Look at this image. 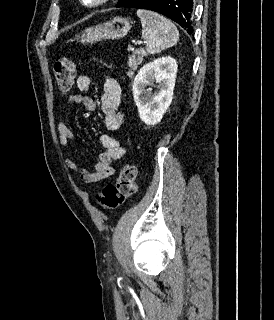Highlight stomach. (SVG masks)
Instances as JSON below:
<instances>
[{
    "mask_svg": "<svg viewBox=\"0 0 274 320\" xmlns=\"http://www.w3.org/2000/svg\"><path fill=\"white\" fill-rule=\"evenodd\" d=\"M131 28L132 22L128 18L116 16L105 24L87 28L80 36H77L76 40H79L81 44H95V42H101V40H119V38L127 36Z\"/></svg>",
    "mask_w": 274,
    "mask_h": 320,
    "instance_id": "obj_1",
    "label": "stomach"
}]
</instances>
